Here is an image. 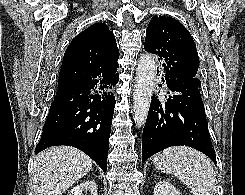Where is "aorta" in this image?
Wrapping results in <instances>:
<instances>
[{
    "label": "aorta",
    "mask_w": 245,
    "mask_h": 195,
    "mask_svg": "<svg viewBox=\"0 0 245 195\" xmlns=\"http://www.w3.org/2000/svg\"><path fill=\"white\" fill-rule=\"evenodd\" d=\"M155 78V58L152 54L142 55L136 70V79L133 92L134 120L138 128L145 124Z\"/></svg>",
    "instance_id": "obj_1"
}]
</instances>
